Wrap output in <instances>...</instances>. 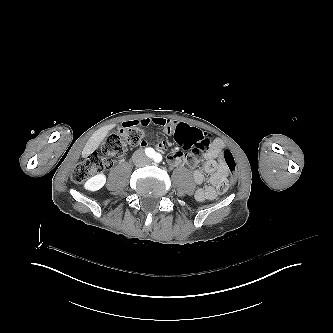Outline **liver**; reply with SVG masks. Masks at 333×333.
Instances as JSON below:
<instances>
[{"mask_svg": "<svg viewBox=\"0 0 333 333\" xmlns=\"http://www.w3.org/2000/svg\"><path fill=\"white\" fill-rule=\"evenodd\" d=\"M117 125H118L117 123H113L110 125L100 127L98 130H96L85 144L83 151L81 153V157L85 159L88 156H90L92 153H94L96 150H98L101 143L109 135L110 131L114 130L117 127Z\"/></svg>", "mask_w": 333, "mask_h": 333, "instance_id": "1", "label": "liver"}]
</instances>
